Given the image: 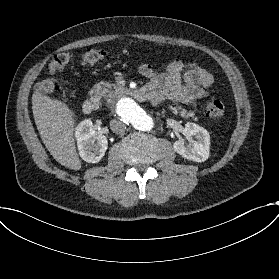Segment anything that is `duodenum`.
<instances>
[{
  "label": "duodenum",
  "instance_id": "obj_1",
  "mask_svg": "<svg viewBox=\"0 0 279 279\" xmlns=\"http://www.w3.org/2000/svg\"><path fill=\"white\" fill-rule=\"evenodd\" d=\"M115 93L124 96H130L138 101H144L149 98V94L144 89L131 90L130 88L119 85L115 88ZM97 108V101L95 98H87L82 106L83 112L87 115L92 114Z\"/></svg>",
  "mask_w": 279,
  "mask_h": 279
}]
</instances>
